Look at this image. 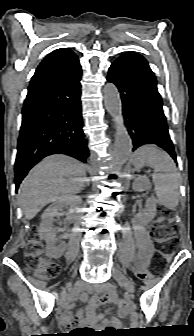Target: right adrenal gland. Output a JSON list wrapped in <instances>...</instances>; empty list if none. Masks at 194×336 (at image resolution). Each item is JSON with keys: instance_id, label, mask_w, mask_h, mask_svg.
<instances>
[{"instance_id": "obj_1", "label": "right adrenal gland", "mask_w": 194, "mask_h": 336, "mask_svg": "<svg viewBox=\"0 0 194 336\" xmlns=\"http://www.w3.org/2000/svg\"><path fill=\"white\" fill-rule=\"evenodd\" d=\"M86 185H87V186L90 185V180H89V179L86 180Z\"/></svg>"}]
</instances>
